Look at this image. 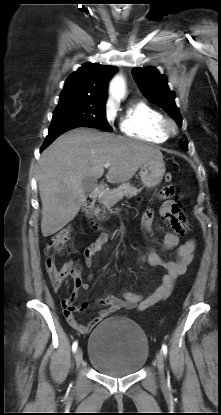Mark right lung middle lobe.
<instances>
[{
    "instance_id": "obj_1",
    "label": "right lung middle lobe",
    "mask_w": 221,
    "mask_h": 415,
    "mask_svg": "<svg viewBox=\"0 0 221 415\" xmlns=\"http://www.w3.org/2000/svg\"><path fill=\"white\" fill-rule=\"evenodd\" d=\"M105 103V100L93 98L60 96L49 131L94 127L111 132L105 117Z\"/></svg>"
}]
</instances>
